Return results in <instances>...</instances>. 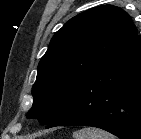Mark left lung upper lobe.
Masks as SVG:
<instances>
[{
  "label": "left lung upper lobe",
  "instance_id": "1",
  "mask_svg": "<svg viewBox=\"0 0 141 139\" xmlns=\"http://www.w3.org/2000/svg\"><path fill=\"white\" fill-rule=\"evenodd\" d=\"M136 36L130 16L116 6L95 7L70 19L39 62L27 117L47 125L83 81Z\"/></svg>",
  "mask_w": 141,
  "mask_h": 139
}]
</instances>
